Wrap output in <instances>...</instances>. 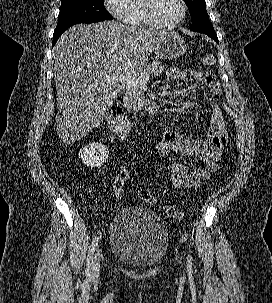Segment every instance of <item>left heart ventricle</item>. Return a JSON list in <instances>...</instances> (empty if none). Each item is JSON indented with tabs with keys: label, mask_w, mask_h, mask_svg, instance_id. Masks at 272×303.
Listing matches in <instances>:
<instances>
[{
	"label": "left heart ventricle",
	"mask_w": 272,
	"mask_h": 303,
	"mask_svg": "<svg viewBox=\"0 0 272 303\" xmlns=\"http://www.w3.org/2000/svg\"><path fill=\"white\" fill-rule=\"evenodd\" d=\"M154 12L160 23L171 24L179 18L181 6L178 0H156Z\"/></svg>",
	"instance_id": "left-heart-ventricle-1"
}]
</instances>
